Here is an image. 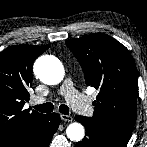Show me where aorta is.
<instances>
[{"mask_svg":"<svg viewBox=\"0 0 147 147\" xmlns=\"http://www.w3.org/2000/svg\"><path fill=\"white\" fill-rule=\"evenodd\" d=\"M34 74L43 83L48 85L59 84L64 78V67L54 56L39 57L34 64ZM67 137L72 141H81L85 130L80 123H71L66 129Z\"/></svg>","mask_w":147,"mask_h":147,"instance_id":"1","label":"aorta"}]
</instances>
